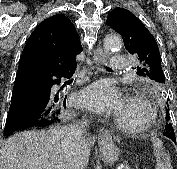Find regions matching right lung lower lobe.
<instances>
[{"label": "right lung lower lobe", "instance_id": "obj_1", "mask_svg": "<svg viewBox=\"0 0 177 169\" xmlns=\"http://www.w3.org/2000/svg\"><path fill=\"white\" fill-rule=\"evenodd\" d=\"M18 68L4 135L14 131L55 125L65 119V98L56 94L53 85L62 77L70 78L74 70Z\"/></svg>", "mask_w": 177, "mask_h": 169}]
</instances>
